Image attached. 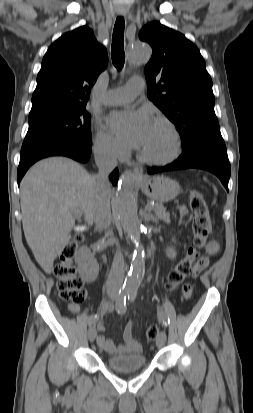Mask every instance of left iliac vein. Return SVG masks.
Wrapping results in <instances>:
<instances>
[{"mask_svg":"<svg viewBox=\"0 0 253 413\" xmlns=\"http://www.w3.org/2000/svg\"><path fill=\"white\" fill-rule=\"evenodd\" d=\"M166 339H167V336H166L165 331H161V332L159 333L157 339H156V345H157V347H159V348L163 347V346L165 345V343H166Z\"/></svg>","mask_w":253,"mask_h":413,"instance_id":"obj_1","label":"left iliac vein"}]
</instances>
